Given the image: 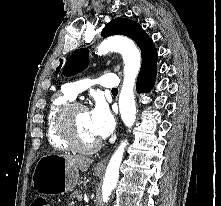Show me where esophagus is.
<instances>
[{"label":"esophagus","mask_w":221,"mask_h":206,"mask_svg":"<svg viewBox=\"0 0 221 206\" xmlns=\"http://www.w3.org/2000/svg\"><path fill=\"white\" fill-rule=\"evenodd\" d=\"M109 156L101 159L96 165H95V170H104L107 164Z\"/></svg>","instance_id":"obj_1"}]
</instances>
